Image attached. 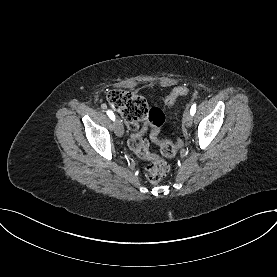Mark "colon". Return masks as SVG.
<instances>
[{"instance_id":"1","label":"colon","mask_w":277,"mask_h":277,"mask_svg":"<svg viewBox=\"0 0 277 277\" xmlns=\"http://www.w3.org/2000/svg\"><path fill=\"white\" fill-rule=\"evenodd\" d=\"M188 89L180 86L175 88L166 98L168 106H172L177 98L186 95ZM106 101L110 107L120 112L129 128L133 133L128 141L129 147L142 159L150 161L145 171L147 180L151 183H157L162 180L169 172V165L149 150L147 140L141 135V132H136L140 122H145L151 127L150 138L157 143L160 151L165 157H173L181 146V140L172 142L169 140H160L158 135L160 128L164 123L165 116L163 112L154 107L149 108L145 99L130 91L114 89L106 94Z\"/></svg>"}]
</instances>
